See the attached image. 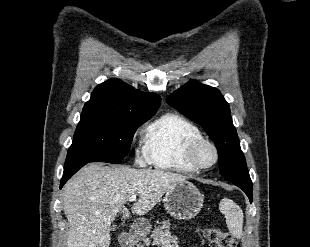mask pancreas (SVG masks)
Returning a JSON list of instances; mask_svg holds the SVG:
<instances>
[{
    "label": "pancreas",
    "instance_id": "pancreas-1",
    "mask_svg": "<svg viewBox=\"0 0 310 247\" xmlns=\"http://www.w3.org/2000/svg\"><path fill=\"white\" fill-rule=\"evenodd\" d=\"M151 240L153 244L161 247H178V238L176 236H171V232L163 230L162 228H156L151 234L150 238L144 239V244H139L138 247H144V245H150Z\"/></svg>",
    "mask_w": 310,
    "mask_h": 247
}]
</instances>
